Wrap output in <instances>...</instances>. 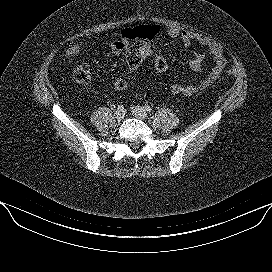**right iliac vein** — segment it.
I'll list each match as a JSON object with an SVG mask.
<instances>
[{
  "label": "right iliac vein",
  "instance_id": "63e3f726",
  "mask_svg": "<svg viewBox=\"0 0 272 272\" xmlns=\"http://www.w3.org/2000/svg\"><path fill=\"white\" fill-rule=\"evenodd\" d=\"M114 116L118 121H121L124 118V113L121 110H116Z\"/></svg>",
  "mask_w": 272,
  "mask_h": 272
}]
</instances>
